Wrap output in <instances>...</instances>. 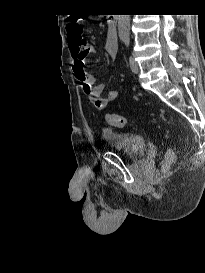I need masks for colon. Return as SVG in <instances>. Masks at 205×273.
Returning a JSON list of instances; mask_svg holds the SVG:
<instances>
[{
	"label": "colon",
	"mask_w": 205,
	"mask_h": 273,
	"mask_svg": "<svg viewBox=\"0 0 205 273\" xmlns=\"http://www.w3.org/2000/svg\"><path fill=\"white\" fill-rule=\"evenodd\" d=\"M67 31L71 42L77 43L80 46L84 44V39L82 38L83 27L80 21L74 20L70 22ZM106 119L111 125L116 127H123L126 124V119L120 115L108 114Z\"/></svg>",
	"instance_id": "1"
}]
</instances>
